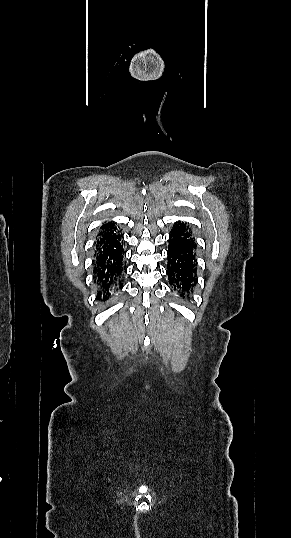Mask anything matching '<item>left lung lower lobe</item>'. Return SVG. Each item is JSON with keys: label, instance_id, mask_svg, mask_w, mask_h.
<instances>
[{"label": "left lung lower lobe", "instance_id": "0a47b994", "mask_svg": "<svg viewBox=\"0 0 291 538\" xmlns=\"http://www.w3.org/2000/svg\"><path fill=\"white\" fill-rule=\"evenodd\" d=\"M196 248L192 234L181 221L176 222L170 231L168 246L167 275L169 283L180 296L190 293L197 283L196 261L193 250Z\"/></svg>", "mask_w": 291, "mask_h": 538}]
</instances>
